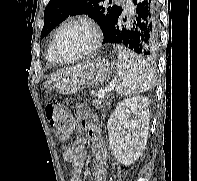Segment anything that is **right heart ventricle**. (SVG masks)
<instances>
[{"mask_svg":"<svg viewBox=\"0 0 197 181\" xmlns=\"http://www.w3.org/2000/svg\"><path fill=\"white\" fill-rule=\"evenodd\" d=\"M52 42H53V38L51 39L50 44L48 46L47 53H46V59L50 63H55L56 61H55L53 53H52Z\"/></svg>","mask_w":197,"mask_h":181,"instance_id":"right-heart-ventricle-1","label":"right heart ventricle"}]
</instances>
